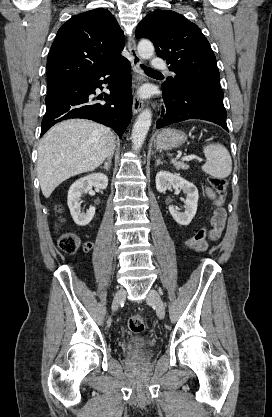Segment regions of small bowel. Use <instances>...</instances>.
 <instances>
[{"instance_id":"obj_1","label":"small bowel","mask_w":272,"mask_h":417,"mask_svg":"<svg viewBox=\"0 0 272 417\" xmlns=\"http://www.w3.org/2000/svg\"><path fill=\"white\" fill-rule=\"evenodd\" d=\"M205 192L209 199L215 198V193L213 192L212 189L207 187ZM225 221H226L225 210L223 208L215 209L213 216L211 218V221H210L211 229L209 230V235H208L209 240L214 241V240H217L221 236V233L225 227ZM206 244L207 242L204 241L195 249L198 251L204 250L206 248Z\"/></svg>"}]
</instances>
